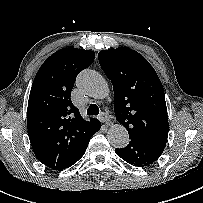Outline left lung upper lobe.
I'll return each mask as SVG.
<instances>
[{
  "label": "left lung upper lobe",
  "instance_id": "5c2ea615",
  "mask_svg": "<svg viewBox=\"0 0 203 203\" xmlns=\"http://www.w3.org/2000/svg\"><path fill=\"white\" fill-rule=\"evenodd\" d=\"M98 59L113 84L118 122L130 137L164 149L169 130L167 107L154 68L141 54L126 47L100 51Z\"/></svg>",
  "mask_w": 203,
  "mask_h": 203
}]
</instances>
